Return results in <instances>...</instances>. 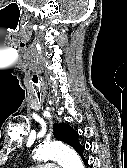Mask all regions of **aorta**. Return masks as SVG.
Returning <instances> with one entry per match:
<instances>
[{
    "mask_svg": "<svg viewBox=\"0 0 127 168\" xmlns=\"http://www.w3.org/2000/svg\"><path fill=\"white\" fill-rule=\"evenodd\" d=\"M34 159L53 160L62 168H84L78 154L69 146L60 142H47L39 145Z\"/></svg>",
    "mask_w": 127,
    "mask_h": 168,
    "instance_id": "obj_1",
    "label": "aorta"
}]
</instances>
